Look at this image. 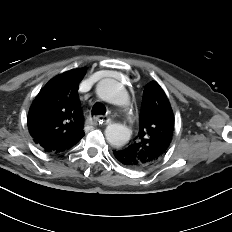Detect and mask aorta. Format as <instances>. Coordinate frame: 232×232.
<instances>
[{
  "label": "aorta",
  "mask_w": 232,
  "mask_h": 232,
  "mask_svg": "<svg viewBox=\"0 0 232 232\" xmlns=\"http://www.w3.org/2000/svg\"><path fill=\"white\" fill-rule=\"evenodd\" d=\"M96 93L103 101L124 106L129 102V96L123 85L114 79L101 80L96 88ZM105 137L109 144L115 147L125 145L131 137L130 130L121 124H111L105 130Z\"/></svg>",
  "instance_id": "1"
}]
</instances>
